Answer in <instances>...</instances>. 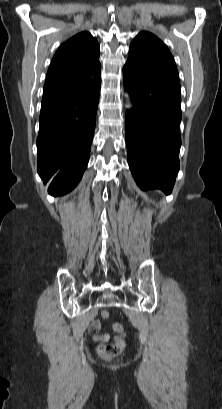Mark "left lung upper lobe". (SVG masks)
I'll return each instance as SVG.
<instances>
[{
  "instance_id": "obj_1",
  "label": "left lung upper lobe",
  "mask_w": 222,
  "mask_h": 409,
  "mask_svg": "<svg viewBox=\"0 0 222 409\" xmlns=\"http://www.w3.org/2000/svg\"><path fill=\"white\" fill-rule=\"evenodd\" d=\"M123 74L181 99L174 58L167 46L149 32L139 33L132 41Z\"/></svg>"
}]
</instances>
